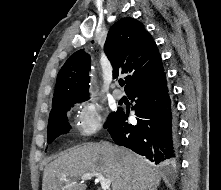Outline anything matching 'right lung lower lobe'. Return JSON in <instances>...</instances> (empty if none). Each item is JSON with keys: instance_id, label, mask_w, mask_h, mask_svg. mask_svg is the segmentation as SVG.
<instances>
[{"instance_id": "98d812e1", "label": "right lung lower lobe", "mask_w": 221, "mask_h": 190, "mask_svg": "<svg viewBox=\"0 0 221 190\" xmlns=\"http://www.w3.org/2000/svg\"><path fill=\"white\" fill-rule=\"evenodd\" d=\"M127 95L136 103L132 110H135L137 124H129L128 114L118 109L108 127L114 142L155 164L174 165L178 155L177 121L165 72Z\"/></svg>"}]
</instances>
